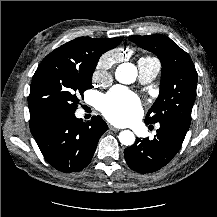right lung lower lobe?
Returning a JSON list of instances; mask_svg holds the SVG:
<instances>
[{
  "label": "right lung lower lobe",
  "mask_w": 217,
  "mask_h": 217,
  "mask_svg": "<svg viewBox=\"0 0 217 217\" xmlns=\"http://www.w3.org/2000/svg\"><path fill=\"white\" fill-rule=\"evenodd\" d=\"M108 129L100 116L84 123L74 113L55 112L30 118V130L46 161L62 172H78L91 161Z\"/></svg>",
  "instance_id": "1"
}]
</instances>
